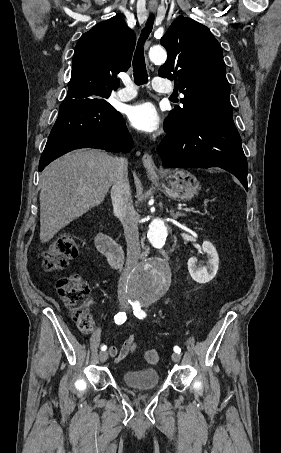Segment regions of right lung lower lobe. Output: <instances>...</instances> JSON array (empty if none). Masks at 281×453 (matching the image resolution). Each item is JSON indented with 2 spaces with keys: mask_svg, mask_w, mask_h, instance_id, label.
I'll return each mask as SVG.
<instances>
[{
  "mask_svg": "<svg viewBox=\"0 0 281 453\" xmlns=\"http://www.w3.org/2000/svg\"><path fill=\"white\" fill-rule=\"evenodd\" d=\"M132 146L123 116L105 100H64L39 162V171L78 148L128 152Z\"/></svg>",
  "mask_w": 281,
  "mask_h": 453,
  "instance_id": "98d812e1",
  "label": "right lung lower lobe"
}]
</instances>
